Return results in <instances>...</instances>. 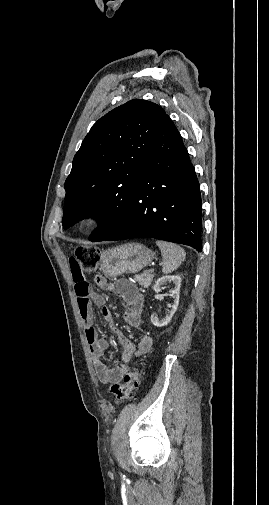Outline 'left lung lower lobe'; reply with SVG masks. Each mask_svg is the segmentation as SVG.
Instances as JSON below:
<instances>
[{
	"label": "left lung lower lobe",
	"mask_w": 269,
	"mask_h": 505,
	"mask_svg": "<svg viewBox=\"0 0 269 505\" xmlns=\"http://www.w3.org/2000/svg\"><path fill=\"white\" fill-rule=\"evenodd\" d=\"M201 211L194 167L180 133L166 115L146 155L128 217L96 241L155 238L201 252Z\"/></svg>",
	"instance_id": "left-lung-lower-lobe-1"
}]
</instances>
